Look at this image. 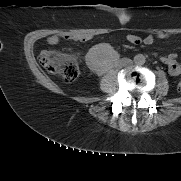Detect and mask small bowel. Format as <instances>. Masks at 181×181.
I'll return each mask as SVG.
<instances>
[{"label":"small bowel","mask_w":181,"mask_h":181,"mask_svg":"<svg viewBox=\"0 0 181 181\" xmlns=\"http://www.w3.org/2000/svg\"><path fill=\"white\" fill-rule=\"evenodd\" d=\"M168 37L169 35L166 33L147 35L144 38L138 37L136 35H128L127 40L134 45H139V44L152 45L156 39H166ZM61 38L67 40H74V41H88L92 38V36L87 34L66 33L62 36L52 35L47 39V42L49 45H57L60 42ZM161 61L167 65L170 75L178 76L181 74V63L177 61L175 54L162 56Z\"/></svg>","instance_id":"small-bowel-1"}]
</instances>
